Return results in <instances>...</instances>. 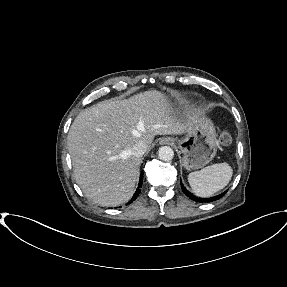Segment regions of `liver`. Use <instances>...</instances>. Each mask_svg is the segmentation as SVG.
<instances>
[{"label": "liver", "mask_w": 287, "mask_h": 287, "mask_svg": "<svg viewBox=\"0 0 287 287\" xmlns=\"http://www.w3.org/2000/svg\"><path fill=\"white\" fill-rule=\"evenodd\" d=\"M200 118L199 113L178 118L169 97L158 90L82 110L67 137L77 184L101 206L129 201L140 160L132 154L133 146L143 141L149 149L156 135L187 133Z\"/></svg>", "instance_id": "6515ba94"}]
</instances>
